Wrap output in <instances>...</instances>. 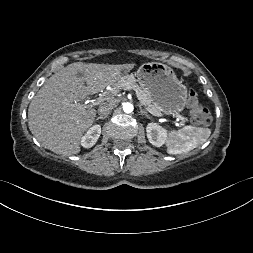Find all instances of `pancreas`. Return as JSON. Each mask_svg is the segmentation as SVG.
Instances as JSON below:
<instances>
[{"instance_id":"cf45deb5","label":"pancreas","mask_w":253,"mask_h":253,"mask_svg":"<svg viewBox=\"0 0 253 253\" xmlns=\"http://www.w3.org/2000/svg\"><path fill=\"white\" fill-rule=\"evenodd\" d=\"M124 85L130 86L131 89L135 91L137 98L140 100L142 105L157 112L159 111L158 106L147 95H144L143 89L136 83L133 75H127L118 80V82L113 85L115 88L114 93L122 89Z\"/></svg>"}]
</instances>
